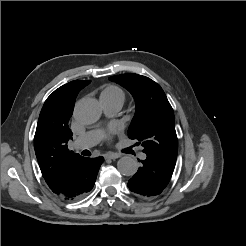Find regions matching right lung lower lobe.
<instances>
[{
    "label": "right lung lower lobe",
    "instance_id": "obj_1",
    "mask_svg": "<svg viewBox=\"0 0 246 246\" xmlns=\"http://www.w3.org/2000/svg\"><path fill=\"white\" fill-rule=\"evenodd\" d=\"M103 157H82L68 169L51 190L65 200H76L89 192L95 183Z\"/></svg>",
    "mask_w": 246,
    "mask_h": 246
}]
</instances>
